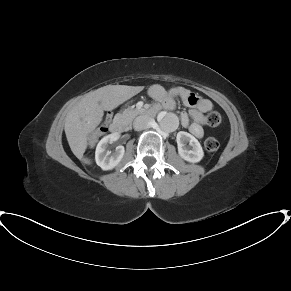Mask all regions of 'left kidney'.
<instances>
[{
    "mask_svg": "<svg viewBox=\"0 0 291 291\" xmlns=\"http://www.w3.org/2000/svg\"><path fill=\"white\" fill-rule=\"evenodd\" d=\"M178 153L182 159L190 163L200 162L204 152L199 141L191 134L180 131L176 137Z\"/></svg>",
    "mask_w": 291,
    "mask_h": 291,
    "instance_id": "5707ae66",
    "label": "left kidney"
}]
</instances>
